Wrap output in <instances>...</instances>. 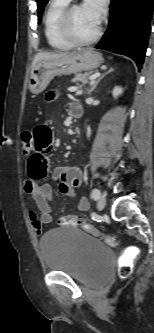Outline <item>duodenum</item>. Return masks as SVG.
Segmentation results:
<instances>
[{
	"instance_id": "obj_1",
	"label": "duodenum",
	"mask_w": 154,
	"mask_h": 333,
	"mask_svg": "<svg viewBox=\"0 0 154 333\" xmlns=\"http://www.w3.org/2000/svg\"><path fill=\"white\" fill-rule=\"evenodd\" d=\"M83 116V110L82 109H76L73 111V117L74 118H81Z\"/></svg>"
}]
</instances>
